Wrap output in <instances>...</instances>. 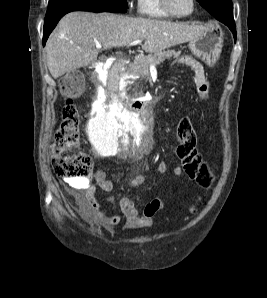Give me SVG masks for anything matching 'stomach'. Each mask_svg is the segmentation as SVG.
<instances>
[{
    "label": "stomach",
    "mask_w": 267,
    "mask_h": 298,
    "mask_svg": "<svg viewBox=\"0 0 267 298\" xmlns=\"http://www.w3.org/2000/svg\"><path fill=\"white\" fill-rule=\"evenodd\" d=\"M223 46V33L220 28H208L200 37L189 42L194 56L208 65H214L220 57Z\"/></svg>",
    "instance_id": "obj_1"
}]
</instances>
